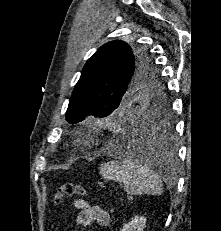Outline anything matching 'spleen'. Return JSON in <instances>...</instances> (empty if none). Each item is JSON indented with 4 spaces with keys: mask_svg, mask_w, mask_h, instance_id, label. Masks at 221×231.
Masks as SVG:
<instances>
[{
    "mask_svg": "<svg viewBox=\"0 0 221 231\" xmlns=\"http://www.w3.org/2000/svg\"><path fill=\"white\" fill-rule=\"evenodd\" d=\"M99 169L104 179L123 183L124 189L129 194L160 195L163 192L160 176L132 157L122 161L112 160L102 164Z\"/></svg>",
    "mask_w": 221,
    "mask_h": 231,
    "instance_id": "1",
    "label": "spleen"
}]
</instances>
